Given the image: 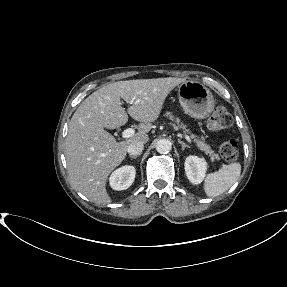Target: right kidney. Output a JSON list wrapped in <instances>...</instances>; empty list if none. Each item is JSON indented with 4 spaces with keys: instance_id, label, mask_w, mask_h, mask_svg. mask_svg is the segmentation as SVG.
Instances as JSON below:
<instances>
[{
    "instance_id": "right-kidney-1",
    "label": "right kidney",
    "mask_w": 287,
    "mask_h": 287,
    "mask_svg": "<svg viewBox=\"0 0 287 287\" xmlns=\"http://www.w3.org/2000/svg\"><path fill=\"white\" fill-rule=\"evenodd\" d=\"M135 174L136 170L133 166H122L111 174L110 186L114 190H125L132 185Z\"/></svg>"
}]
</instances>
